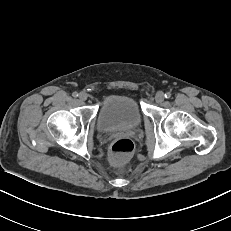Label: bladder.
I'll list each match as a JSON object with an SVG mask.
<instances>
[{"instance_id": "obj_1", "label": "bladder", "mask_w": 231, "mask_h": 231, "mask_svg": "<svg viewBox=\"0 0 231 231\" xmlns=\"http://www.w3.org/2000/svg\"><path fill=\"white\" fill-rule=\"evenodd\" d=\"M142 117L135 99L126 95H110L99 111L97 129L101 132L132 129L141 123Z\"/></svg>"}]
</instances>
